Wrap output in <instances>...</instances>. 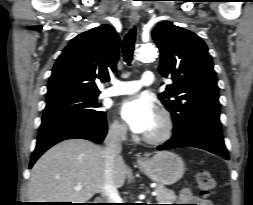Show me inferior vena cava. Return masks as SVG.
<instances>
[{
  "label": "inferior vena cava",
  "instance_id": "1",
  "mask_svg": "<svg viewBox=\"0 0 253 205\" xmlns=\"http://www.w3.org/2000/svg\"><path fill=\"white\" fill-rule=\"evenodd\" d=\"M127 128L125 125H113L110 127L105 138L103 155L105 158L104 177L105 182L101 191L105 203H118L120 197L114 183L113 168L116 158L120 157L122 142L126 138Z\"/></svg>",
  "mask_w": 253,
  "mask_h": 205
}]
</instances>
